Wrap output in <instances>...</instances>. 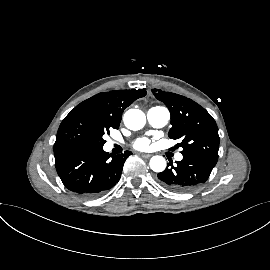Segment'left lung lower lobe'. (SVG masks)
Segmentation results:
<instances>
[{
	"mask_svg": "<svg viewBox=\"0 0 270 270\" xmlns=\"http://www.w3.org/2000/svg\"><path fill=\"white\" fill-rule=\"evenodd\" d=\"M172 161L158 174L162 186L174 192H189L206 182L216 163L194 155H183V159Z\"/></svg>",
	"mask_w": 270,
	"mask_h": 270,
	"instance_id": "left-lung-lower-lobe-1",
	"label": "left lung lower lobe"
}]
</instances>
